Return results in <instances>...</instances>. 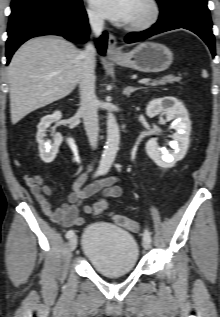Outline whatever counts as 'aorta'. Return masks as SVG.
Returning <instances> with one entry per match:
<instances>
[{
  "mask_svg": "<svg viewBox=\"0 0 220 317\" xmlns=\"http://www.w3.org/2000/svg\"><path fill=\"white\" fill-rule=\"evenodd\" d=\"M120 131L116 118L112 113L107 115V141L100 161L99 169L108 171L119 149Z\"/></svg>",
  "mask_w": 220,
  "mask_h": 317,
  "instance_id": "1",
  "label": "aorta"
}]
</instances>
